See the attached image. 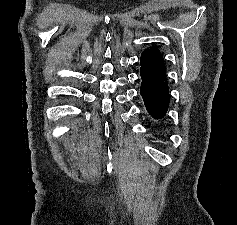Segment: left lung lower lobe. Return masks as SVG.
Wrapping results in <instances>:
<instances>
[{"mask_svg": "<svg viewBox=\"0 0 237 225\" xmlns=\"http://www.w3.org/2000/svg\"><path fill=\"white\" fill-rule=\"evenodd\" d=\"M141 95L146 109L156 119L165 116L169 105L168 85L164 81L142 77Z\"/></svg>", "mask_w": 237, "mask_h": 225, "instance_id": "left-lung-lower-lobe-1", "label": "left lung lower lobe"}]
</instances>
